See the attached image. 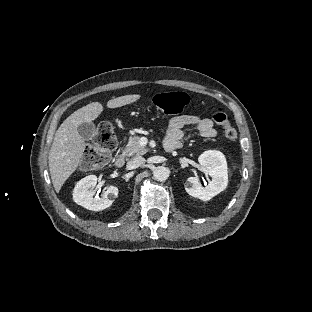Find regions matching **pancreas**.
Returning a JSON list of instances; mask_svg holds the SVG:
<instances>
[{
  "label": "pancreas",
  "mask_w": 312,
  "mask_h": 312,
  "mask_svg": "<svg viewBox=\"0 0 312 312\" xmlns=\"http://www.w3.org/2000/svg\"><path fill=\"white\" fill-rule=\"evenodd\" d=\"M148 150L149 149L140 144V137L134 136L129 138V142L123 150V155L128 157L140 156L146 154Z\"/></svg>",
  "instance_id": "cf45deb5"
}]
</instances>
